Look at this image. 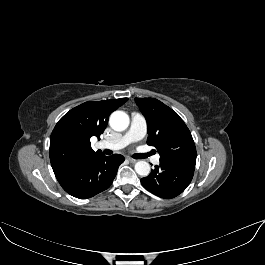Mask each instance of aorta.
<instances>
[{"label":"aorta","mask_w":265,"mask_h":265,"mask_svg":"<svg viewBox=\"0 0 265 265\" xmlns=\"http://www.w3.org/2000/svg\"><path fill=\"white\" fill-rule=\"evenodd\" d=\"M129 116L124 111H115L111 114L109 124L115 131H124L129 126ZM135 171L140 176H147L150 173V164L146 161H138L135 164Z\"/></svg>","instance_id":"obj_1"}]
</instances>
